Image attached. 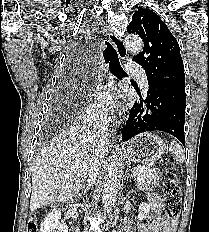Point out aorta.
Instances as JSON below:
<instances>
[{
    "label": "aorta",
    "mask_w": 209,
    "mask_h": 232,
    "mask_svg": "<svg viewBox=\"0 0 209 232\" xmlns=\"http://www.w3.org/2000/svg\"><path fill=\"white\" fill-rule=\"evenodd\" d=\"M126 47L133 54L137 55L143 50V40L138 36H128L125 40ZM128 80H123L120 85V90L125 93L128 89ZM124 98L123 94H120ZM123 105L119 104L121 110ZM121 169V162L117 155L113 154L106 164L105 174L103 178L102 204L104 211L109 213L115 205L117 192L119 188V172Z\"/></svg>",
    "instance_id": "obj_1"
}]
</instances>
